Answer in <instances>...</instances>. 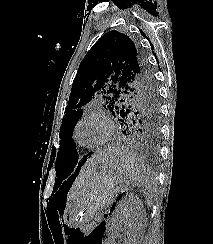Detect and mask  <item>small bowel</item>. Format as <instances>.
<instances>
[{
  "label": "small bowel",
  "instance_id": "1",
  "mask_svg": "<svg viewBox=\"0 0 213 244\" xmlns=\"http://www.w3.org/2000/svg\"><path fill=\"white\" fill-rule=\"evenodd\" d=\"M100 244H104L103 241H100Z\"/></svg>",
  "mask_w": 213,
  "mask_h": 244
}]
</instances>
